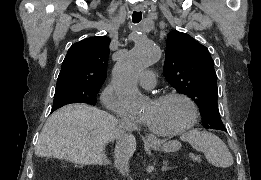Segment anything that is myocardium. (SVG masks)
<instances>
[{"label":"myocardium","mask_w":261,"mask_h":180,"mask_svg":"<svg viewBox=\"0 0 261 180\" xmlns=\"http://www.w3.org/2000/svg\"><path fill=\"white\" fill-rule=\"evenodd\" d=\"M170 97H178L185 101L189 108H190V116L189 119L185 125V127L178 133L168 135V136H163V137H158L153 134H151L146 127L141 121H140V126L143 134L150 140H157V139H168V140H178L184 137L195 125L197 118H198V106L195 100L189 96L187 93L180 91V90H168V91H163L161 93H156L153 95L152 99L153 100H160V99H166Z\"/></svg>","instance_id":"obj_1"}]
</instances>
